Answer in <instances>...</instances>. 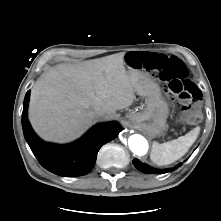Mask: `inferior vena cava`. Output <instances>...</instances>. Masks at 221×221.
<instances>
[{"mask_svg": "<svg viewBox=\"0 0 221 221\" xmlns=\"http://www.w3.org/2000/svg\"><path fill=\"white\" fill-rule=\"evenodd\" d=\"M95 115H96L97 119H105L106 114L104 111L98 110L95 112Z\"/></svg>", "mask_w": 221, "mask_h": 221, "instance_id": "1", "label": "inferior vena cava"}]
</instances>
